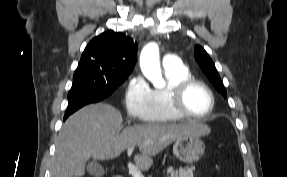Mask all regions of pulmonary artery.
Instances as JSON below:
<instances>
[{"instance_id":"obj_1","label":"pulmonary artery","mask_w":287,"mask_h":177,"mask_svg":"<svg viewBox=\"0 0 287 177\" xmlns=\"http://www.w3.org/2000/svg\"><path fill=\"white\" fill-rule=\"evenodd\" d=\"M162 65L164 68H172L180 65V61L176 55H166L163 58Z\"/></svg>"}]
</instances>
